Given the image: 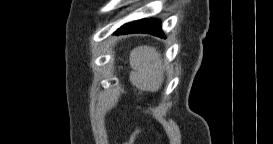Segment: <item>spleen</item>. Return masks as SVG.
Wrapping results in <instances>:
<instances>
[{
  "label": "spleen",
  "instance_id": "1",
  "mask_svg": "<svg viewBox=\"0 0 273 144\" xmlns=\"http://www.w3.org/2000/svg\"><path fill=\"white\" fill-rule=\"evenodd\" d=\"M130 82L141 91L156 92L164 80L160 53L147 45L138 46L130 52Z\"/></svg>",
  "mask_w": 273,
  "mask_h": 144
}]
</instances>
